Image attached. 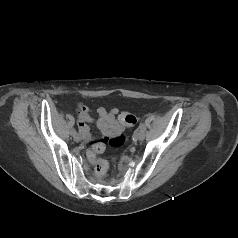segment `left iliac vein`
I'll use <instances>...</instances> for the list:
<instances>
[{"label":"left iliac vein","mask_w":238,"mask_h":238,"mask_svg":"<svg viewBox=\"0 0 238 238\" xmlns=\"http://www.w3.org/2000/svg\"><path fill=\"white\" fill-rule=\"evenodd\" d=\"M136 138L137 140L142 141L145 138V134H143L142 131L140 130L137 132Z\"/></svg>","instance_id":"4c4485c4"}]
</instances>
